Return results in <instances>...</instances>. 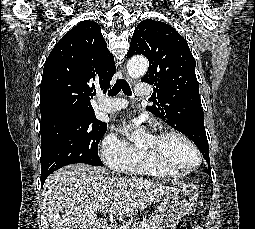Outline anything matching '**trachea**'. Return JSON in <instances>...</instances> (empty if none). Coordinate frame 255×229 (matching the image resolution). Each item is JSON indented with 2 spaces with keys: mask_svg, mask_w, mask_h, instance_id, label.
Listing matches in <instances>:
<instances>
[{
  "mask_svg": "<svg viewBox=\"0 0 255 229\" xmlns=\"http://www.w3.org/2000/svg\"><path fill=\"white\" fill-rule=\"evenodd\" d=\"M121 90L127 96L132 95V91L130 89V86H129L128 82L124 79L117 80V82L114 84L112 89L109 90L108 95L109 96H114V95L118 94Z\"/></svg>",
  "mask_w": 255,
  "mask_h": 229,
  "instance_id": "1",
  "label": "trachea"
}]
</instances>
